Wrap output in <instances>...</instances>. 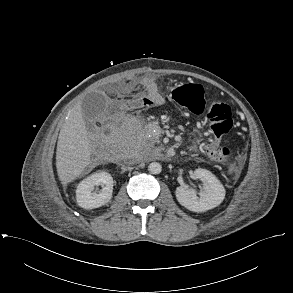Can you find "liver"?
<instances>
[{
	"label": "liver",
	"mask_w": 293,
	"mask_h": 293,
	"mask_svg": "<svg viewBox=\"0 0 293 293\" xmlns=\"http://www.w3.org/2000/svg\"><path fill=\"white\" fill-rule=\"evenodd\" d=\"M91 162V145L81 103L69 113L57 142L56 168L59 180L67 184L77 179Z\"/></svg>",
	"instance_id": "liver-1"
}]
</instances>
